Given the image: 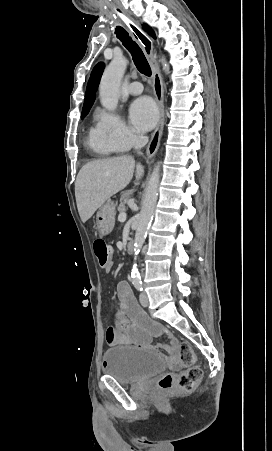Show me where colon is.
Masks as SVG:
<instances>
[{
	"mask_svg": "<svg viewBox=\"0 0 272 451\" xmlns=\"http://www.w3.org/2000/svg\"><path fill=\"white\" fill-rule=\"evenodd\" d=\"M94 252L99 266L108 265L111 256L110 246L102 239L94 241ZM111 336L109 338L110 348H119L120 341L115 338V331L109 328ZM170 351H173V359L180 365L187 366L185 370L179 374L166 373L163 374L158 381V386L162 390H170L180 388L182 390L192 391L195 384L200 380L202 371L200 365L196 364V350H192L191 342H170L167 345Z\"/></svg>",
	"mask_w": 272,
	"mask_h": 451,
	"instance_id": "1",
	"label": "colon"
}]
</instances>
